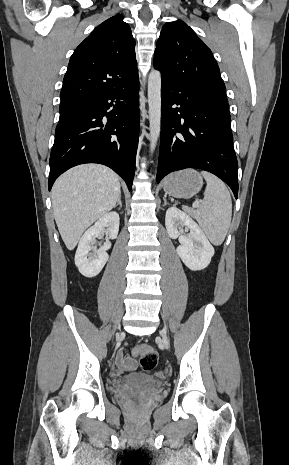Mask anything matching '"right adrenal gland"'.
I'll return each instance as SVG.
<instances>
[{
  "mask_svg": "<svg viewBox=\"0 0 289 465\" xmlns=\"http://www.w3.org/2000/svg\"><path fill=\"white\" fill-rule=\"evenodd\" d=\"M117 206H119V209L122 208V201H121V194L118 198V201H117V204L114 206V208H116Z\"/></svg>",
  "mask_w": 289,
  "mask_h": 465,
  "instance_id": "right-adrenal-gland-1",
  "label": "right adrenal gland"
}]
</instances>
